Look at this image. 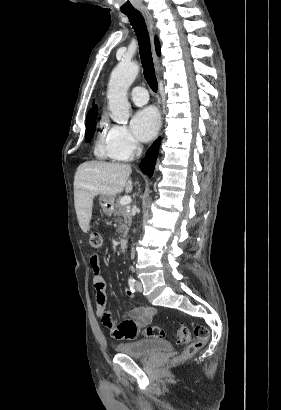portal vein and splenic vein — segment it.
<instances>
[{
    "instance_id": "18ae733b",
    "label": "portal vein and splenic vein",
    "mask_w": 281,
    "mask_h": 410,
    "mask_svg": "<svg viewBox=\"0 0 281 410\" xmlns=\"http://www.w3.org/2000/svg\"><path fill=\"white\" fill-rule=\"evenodd\" d=\"M131 197L130 196H124L120 199V204L121 205H129L131 203Z\"/></svg>"
}]
</instances>
